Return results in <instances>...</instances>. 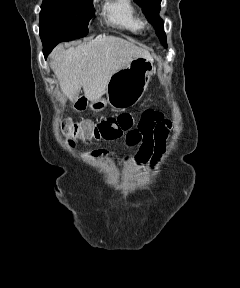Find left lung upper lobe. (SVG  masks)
Returning a JSON list of instances; mask_svg holds the SVG:
<instances>
[{
  "mask_svg": "<svg viewBox=\"0 0 240 288\" xmlns=\"http://www.w3.org/2000/svg\"><path fill=\"white\" fill-rule=\"evenodd\" d=\"M142 8L146 14V18L153 24L156 34L160 38L162 44L167 47L166 35L164 32V23L159 17L161 0H134Z\"/></svg>",
  "mask_w": 240,
  "mask_h": 288,
  "instance_id": "1",
  "label": "left lung upper lobe"
}]
</instances>
